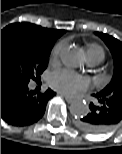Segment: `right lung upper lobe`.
Returning <instances> with one entry per match:
<instances>
[{
  "instance_id": "cb5924a9",
  "label": "right lung upper lobe",
  "mask_w": 122,
  "mask_h": 154,
  "mask_svg": "<svg viewBox=\"0 0 122 154\" xmlns=\"http://www.w3.org/2000/svg\"><path fill=\"white\" fill-rule=\"evenodd\" d=\"M24 24L31 33L45 42H54L55 39L59 38L65 32L64 30L42 28L41 26H37L31 23Z\"/></svg>"
}]
</instances>
